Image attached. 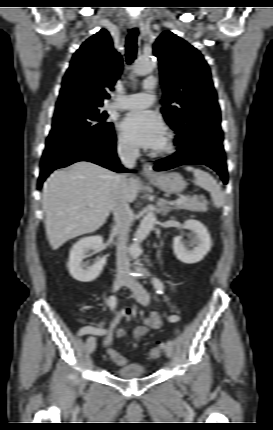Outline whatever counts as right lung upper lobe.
<instances>
[{"label":"right lung upper lobe","instance_id":"1","mask_svg":"<svg viewBox=\"0 0 273 430\" xmlns=\"http://www.w3.org/2000/svg\"><path fill=\"white\" fill-rule=\"evenodd\" d=\"M122 57L102 29L87 39L72 57L62 81L56 107L73 101L102 106L121 74Z\"/></svg>","mask_w":273,"mask_h":430}]
</instances>
